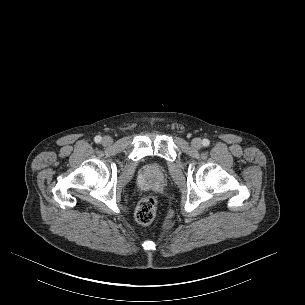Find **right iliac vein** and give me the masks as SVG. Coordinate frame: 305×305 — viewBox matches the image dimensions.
Wrapping results in <instances>:
<instances>
[{"label": "right iliac vein", "mask_w": 305, "mask_h": 305, "mask_svg": "<svg viewBox=\"0 0 305 305\" xmlns=\"http://www.w3.org/2000/svg\"><path fill=\"white\" fill-rule=\"evenodd\" d=\"M102 143L105 145V146H110L112 143H113V140L111 137L109 136H105L102 140Z\"/></svg>", "instance_id": "right-iliac-vein-1"}]
</instances>
